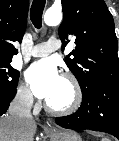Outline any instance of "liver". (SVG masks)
<instances>
[{"label": "liver", "instance_id": "6515ba94", "mask_svg": "<svg viewBox=\"0 0 119 141\" xmlns=\"http://www.w3.org/2000/svg\"><path fill=\"white\" fill-rule=\"evenodd\" d=\"M36 130L35 123L23 125L10 115L0 117V141H33Z\"/></svg>", "mask_w": 119, "mask_h": 141}]
</instances>
